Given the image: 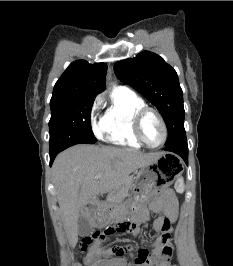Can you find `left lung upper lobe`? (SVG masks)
Segmentation results:
<instances>
[{"mask_svg":"<svg viewBox=\"0 0 233 266\" xmlns=\"http://www.w3.org/2000/svg\"><path fill=\"white\" fill-rule=\"evenodd\" d=\"M114 71L159 110L168 129L166 143L185 133L182 89L176 71L162 57L143 51L135 58L117 62Z\"/></svg>","mask_w":233,"mask_h":266,"instance_id":"obj_1","label":"left lung upper lobe"}]
</instances>
